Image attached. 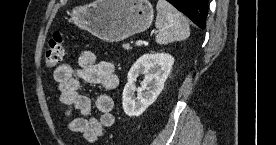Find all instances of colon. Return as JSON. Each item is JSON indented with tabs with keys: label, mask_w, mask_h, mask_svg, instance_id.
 Returning <instances> with one entry per match:
<instances>
[{
	"label": "colon",
	"mask_w": 276,
	"mask_h": 145,
	"mask_svg": "<svg viewBox=\"0 0 276 145\" xmlns=\"http://www.w3.org/2000/svg\"><path fill=\"white\" fill-rule=\"evenodd\" d=\"M65 54L64 36L60 32H55L49 40L46 54L45 64L48 68L56 67Z\"/></svg>",
	"instance_id": "1"
}]
</instances>
